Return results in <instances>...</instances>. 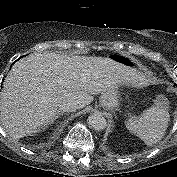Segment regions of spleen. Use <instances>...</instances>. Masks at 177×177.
<instances>
[{
    "label": "spleen",
    "mask_w": 177,
    "mask_h": 177,
    "mask_svg": "<svg viewBox=\"0 0 177 177\" xmlns=\"http://www.w3.org/2000/svg\"><path fill=\"white\" fill-rule=\"evenodd\" d=\"M170 115L168 101L163 95H158L154 105L145 110L139 118H130L125 122L126 128L146 145L159 142L168 127Z\"/></svg>",
    "instance_id": "obj_1"
}]
</instances>
